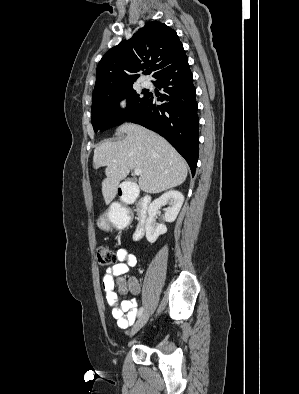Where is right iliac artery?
I'll list each match as a JSON object with an SVG mask.
<instances>
[{
  "label": "right iliac artery",
  "mask_w": 299,
  "mask_h": 394,
  "mask_svg": "<svg viewBox=\"0 0 299 394\" xmlns=\"http://www.w3.org/2000/svg\"><path fill=\"white\" fill-rule=\"evenodd\" d=\"M143 311H144V308L141 307V308L139 309V311H138L137 316L140 317V316L142 315Z\"/></svg>",
  "instance_id": "82829eb1"
}]
</instances>
